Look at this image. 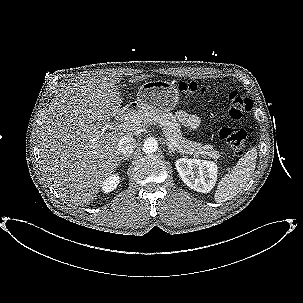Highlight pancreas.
<instances>
[{"label": "pancreas", "mask_w": 303, "mask_h": 303, "mask_svg": "<svg viewBox=\"0 0 303 303\" xmlns=\"http://www.w3.org/2000/svg\"><path fill=\"white\" fill-rule=\"evenodd\" d=\"M130 124H150L159 123L167 131L173 142L178 145L185 153L194 156H209L215 160L220 158V154L213 150L211 145H201L200 143L187 140L183 137L180 130V124L175 116L169 112H138L129 117L127 121Z\"/></svg>", "instance_id": "pancreas-1"}]
</instances>
